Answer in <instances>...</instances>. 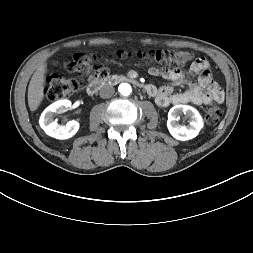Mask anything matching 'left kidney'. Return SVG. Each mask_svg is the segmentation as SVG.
Returning <instances> with one entry per match:
<instances>
[{
  "instance_id": "left-kidney-1",
  "label": "left kidney",
  "mask_w": 253,
  "mask_h": 253,
  "mask_svg": "<svg viewBox=\"0 0 253 253\" xmlns=\"http://www.w3.org/2000/svg\"><path fill=\"white\" fill-rule=\"evenodd\" d=\"M181 115L189 119V125H180L178 120ZM203 119L200 113L189 105H175L168 113L167 128L177 140L186 141L195 138L203 128Z\"/></svg>"
}]
</instances>
